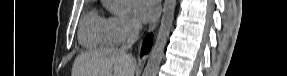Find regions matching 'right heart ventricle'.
<instances>
[{
  "instance_id": "1",
  "label": "right heart ventricle",
  "mask_w": 287,
  "mask_h": 76,
  "mask_svg": "<svg viewBox=\"0 0 287 76\" xmlns=\"http://www.w3.org/2000/svg\"><path fill=\"white\" fill-rule=\"evenodd\" d=\"M80 43L86 47H98L113 43L110 39L107 19L96 11H90L83 19L79 29Z\"/></svg>"
}]
</instances>
